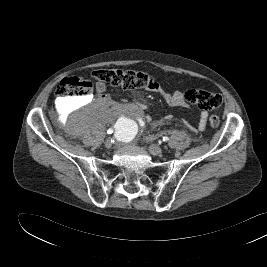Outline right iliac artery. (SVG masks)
<instances>
[{
  "label": "right iliac artery",
  "mask_w": 267,
  "mask_h": 267,
  "mask_svg": "<svg viewBox=\"0 0 267 267\" xmlns=\"http://www.w3.org/2000/svg\"><path fill=\"white\" fill-rule=\"evenodd\" d=\"M113 129L112 128H110L107 132L109 133V134H111V133H113Z\"/></svg>",
  "instance_id": "1"
}]
</instances>
